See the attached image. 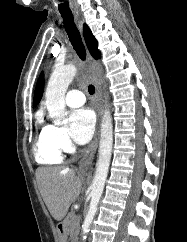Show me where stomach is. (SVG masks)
<instances>
[{
	"instance_id": "stomach-1",
	"label": "stomach",
	"mask_w": 187,
	"mask_h": 242,
	"mask_svg": "<svg viewBox=\"0 0 187 242\" xmlns=\"http://www.w3.org/2000/svg\"><path fill=\"white\" fill-rule=\"evenodd\" d=\"M57 231H58L59 242H67V233L65 232L64 227H62L61 225L58 226Z\"/></svg>"
}]
</instances>
